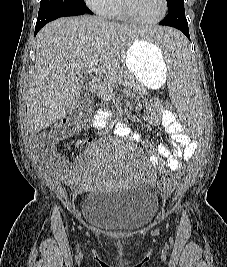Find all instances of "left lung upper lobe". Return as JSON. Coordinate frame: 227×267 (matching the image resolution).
Returning a JSON list of instances; mask_svg holds the SVG:
<instances>
[{"instance_id": "left-lung-upper-lobe-1", "label": "left lung upper lobe", "mask_w": 227, "mask_h": 267, "mask_svg": "<svg viewBox=\"0 0 227 267\" xmlns=\"http://www.w3.org/2000/svg\"><path fill=\"white\" fill-rule=\"evenodd\" d=\"M168 11L178 6L184 5V0H167Z\"/></svg>"}]
</instances>
